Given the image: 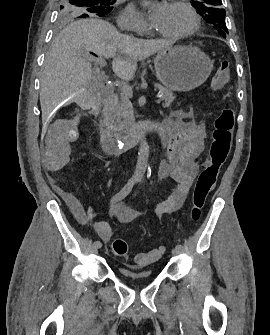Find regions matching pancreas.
<instances>
[{
    "label": "pancreas",
    "instance_id": "obj_1",
    "mask_svg": "<svg viewBox=\"0 0 270 335\" xmlns=\"http://www.w3.org/2000/svg\"><path fill=\"white\" fill-rule=\"evenodd\" d=\"M155 88L160 90L161 100L163 108H169L171 102H174L175 96L172 90H167L163 88L160 84H155ZM133 120V110H119L117 114V120L114 124V132H119V134H126L130 130V124Z\"/></svg>",
    "mask_w": 270,
    "mask_h": 335
}]
</instances>
